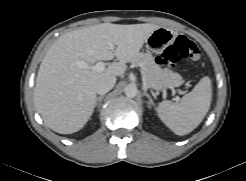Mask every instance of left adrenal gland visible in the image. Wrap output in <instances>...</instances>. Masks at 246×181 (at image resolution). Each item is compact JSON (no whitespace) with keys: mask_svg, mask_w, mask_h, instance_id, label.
<instances>
[{"mask_svg":"<svg viewBox=\"0 0 246 181\" xmlns=\"http://www.w3.org/2000/svg\"><path fill=\"white\" fill-rule=\"evenodd\" d=\"M144 95L148 98V108H152V106H155V103L153 102L151 96L147 93V91L144 89Z\"/></svg>","mask_w":246,"mask_h":181,"instance_id":"a2214340","label":"left adrenal gland"}]
</instances>
